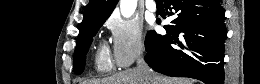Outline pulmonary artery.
Wrapping results in <instances>:
<instances>
[{"label":"pulmonary artery","instance_id":"obj_1","mask_svg":"<svg viewBox=\"0 0 260 84\" xmlns=\"http://www.w3.org/2000/svg\"><path fill=\"white\" fill-rule=\"evenodd\" d=\"M146 7L150 12H155L157 10V5L153 0H147Z\"/></svg>","mask_w":260,"mask_h":84}]
</instances>
